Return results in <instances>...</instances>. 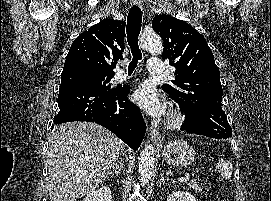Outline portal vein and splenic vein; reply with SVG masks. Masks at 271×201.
Here are the masks:
<instances>
[{
  "label": "portal vein and splenic vein",
  "instance_id": "18ae733b",
  "mask_svg": "<svg viewBox=\"0 0 271 201\" xmlns=\"http://www.w3.org/2000/svg\"><path fill=\"white\" fill-rule=\"evenodd\" d=\"M188 180H189V177L187 175H185L184 177H180L178 179V181H180V182H185V181H188Z\"/></svg>",
  "mask_w": 271,
  "mask_h": 201
}]
</instances>
